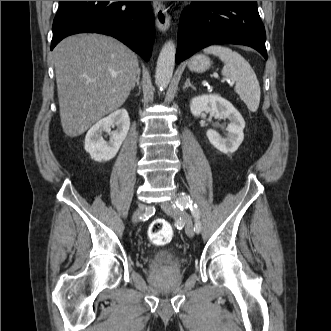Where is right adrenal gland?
<instances>
[{
    "instance_id": "right-adrenal-gland-1",
    "label": "right adrenal gland",
    "mask_w": 331,
    "mask_h": 331,
    "mask_svg": "<svg viewBox=\"0 0 331 331\" xmlns=\"http://www.w3.org/2000/svg\"><path fill=\"white\" fill-rule=\"evenodd\" d=\"M139 80H140V73L137 75V78L134 81V84L132 86V90L135 88V84L139 85Z\"/></svg>"
}]
</instances>
